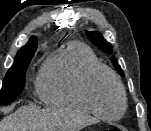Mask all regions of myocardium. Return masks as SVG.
Instances as JSON below:
<instances>
[{"label": "myocardium", "instance_id": "obj_1", "mask_svg": "<svg viewBox=\"0 0 151 131\" xmlns=\"http://www.w3.org/2000/svg\"><path fill=\"white\" fill-rule=\"evenodd\" d=\"M101 73H105L112 78V80L114 81L115 85L117 86V89L121 96V102H122L121 110L115 116H109V115L102 113L97 108V106L94 102V99H93V94H92L93 81ZM81 95H82L85 103L87 104L88 108L90 109V111L101 119L118 120L125 114V112L127 110V104H128L127 94H126V90L124 88L122 81L120 80L119 76L112 69H110L108 66L100 64V63L93 65L92 67H90L87 70V72L82 80V83H81Z\"/></svg>", "mask_w": 151, "mask_h": 131}]
</instances>
